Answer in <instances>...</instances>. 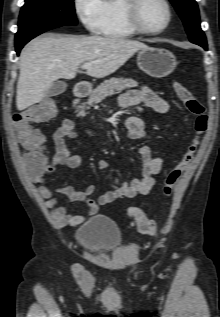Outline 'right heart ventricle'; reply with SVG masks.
<instances>
[{
	"mask_svg": "<svg viewBox=\"0 0 220 317\" xmlns=\"http://www.w3.org/2000/svg\"><path fill=\"white\" fill-rule=\"evenodd\" d=\"M125 0H101L98 33L111 38H129L137 32L129 25L124 13Z\"/></svg>",
	"mask_w": 220,
	"mask_h": 317,
	"instance_id": "e07e8e85",
	"label": "right heart ventricle"
}]
</instances>
